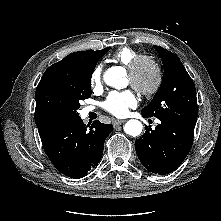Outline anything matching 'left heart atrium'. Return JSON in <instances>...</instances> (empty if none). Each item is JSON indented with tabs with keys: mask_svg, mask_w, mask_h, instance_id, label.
<instances>
[{
	"mask_svg": "<svg viewBox=\"0 0 221 221\" xmlns=\"http://www.w3.org/2000/svg\"><path fill=\"white\" fill-rule=\"evenodd\" d=\"M137 99L132 91L111 92L103 103L106 111L117 117H124L128 114L130 108H134Z\"/></svg>",
	"mask_w": 221,
	"mask_h": 221,
	"instance_id": "left-heart-atrium-1",
	"label": "left heart atrium"
}]
</instances>
